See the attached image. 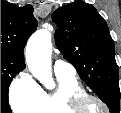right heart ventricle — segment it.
Returning <instances> with one entry per match:
<instances>
[{"mask_svg":"<svg viewBox=\"0 0 121 113\" xmlns=\"http://www.w3.org/2000/svg\"><path fill=\"white\" fill-rule=\"evenodd\" d=\"M57 87L53 90L39 88L36 100L29 105H21L19 113H59V110L75 109V100L84 94L74 75L56 74Z\"/></svg>","mask_w":121,"mask_h":113,"instance_id":"right-heart-ventricle-1","label":"right heart ventricle"}]
</instances>
